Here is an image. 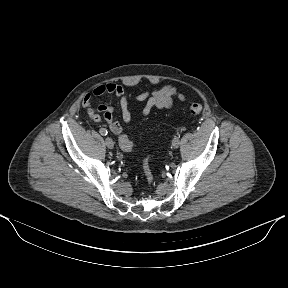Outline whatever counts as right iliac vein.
<instances>
[{"mask_svg": "<svg viewBox=\"0 0 288 288\" xmlns=\"http://www.w3.org/2000/svg\"><path fill=\"white\" fill-rule=\"evenodd\" d=\"M105 144L110 149H112L114 147V142L110 137L105 138Z\"/></svg>", "mask_w": 288, "mask_h": 288, "instance_id": "1", "label": "right iliac vein"}]
</instances>
